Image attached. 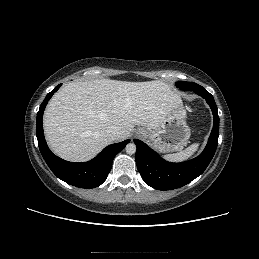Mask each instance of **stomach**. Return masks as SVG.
Here are the masks:
<instances>
[{
    "mask_svg": "<svg viewBox=\"0 0 259 259\" xmlns=\"http://www.w3.org/2000/svg\"><path fill=\"white\" fill-rule=\"evenodd\" d=\"M182 102L175 104L156 129L140 128L138 133L160 153L181 150L189 142L191 129Z\"/></svg>",
    "mask_w": 259,
    "mask_h": 259,
    "instance_id": "1",
    "label": "stomach"
}]
</instances>
